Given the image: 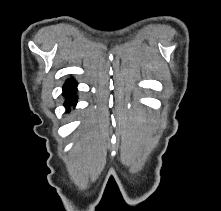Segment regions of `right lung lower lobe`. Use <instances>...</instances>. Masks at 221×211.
Instances as JSON below:
<instances>
[{
	"mask_svg": "<svg viewBox=\"0 0 221 211\" xmlns=\"http://www.w3.org/2000/svg\"><path fill=\"white\" fill-rule=\"evenodd\" d=\"M76 85L74 79H68L63 86V96L66 97L64 106L66 107V111L69 112L68 106L71 104L73 107L76 106L77 96H76Z\"/></svg>",
	"mask_w": 221,
	"mask_h": 211,
	"instance_id": "98d812e1",
	"label": "right lung lower lobe"
}]
</instances>
